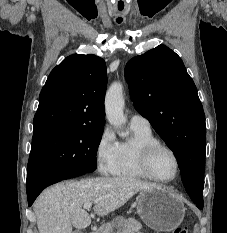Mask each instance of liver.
<instances>
[{
  "instance_id": "6515ba94",
  "label": "liver",
  "mask_w": 227,
  "mask_h": 233,
  "mask_svg": "<svg viewBox=\"0 0 227 233\" xmlns=\"http://www.w3.org/2000/svg\"><path fill=\"white\" fill-rule=\"evenodd\" d=\"M155 184L126 177L90 178L68 181L45 190L34 203L39 233H74L91 223L82 209L94 202V212L105 216L123 206L140 191L156 188Z\"/></svg>"
}]
</instances>
